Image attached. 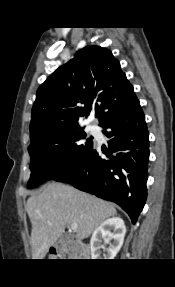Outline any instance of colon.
Returning a JSON list of instances; mask_svg holds the SVG:
<instances>
[{
  "label": "colon",
  "mask_w": 175,
  "mask_h": 287,
  "mask_svg": "<svg viewBox=\"0 0 175 287\" xmlns=\"http://www.w3.org/2000/svg\"><path fill=\"white\" fill-rule=\"evenodd\" d=\"M72 248H76V250L79 251V252L82 251V248H81V246H79V245L72 246L71 249H72ZM51 255H52V256H57L58 253H57L55 250H53V251H51Z\"/></svg>",
  "instance_id": "obj_1"
}]
</instances>
